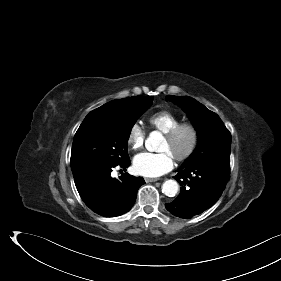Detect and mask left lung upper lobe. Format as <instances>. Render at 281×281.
Segmentation results:
<instances>
[{"label": "left lung upper lobe", "mask_w": 281, "mask_h": 281, "mask_svg": "<svg viewBox=\"0 0 281 281\" xmlns=\"http://www.w3.org/2000/svg\"><path fill=\"white\" fill-rule=\"evenodd\" d=\"M166 101L181 106L198 133V146L183 166L205 161H230L231 134L217 114L188 96L168 95Z\"/></svg>", "instance_id": "obj_1"}]
</instances>
